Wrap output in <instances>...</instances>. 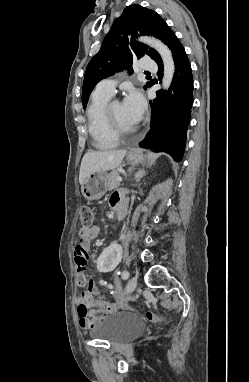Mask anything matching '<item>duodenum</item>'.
<instances>
[{
  "label": "duodenum",
  "mask_w": 249,
  "mask_h": 382,
  "mask_svg": "<svg viewBox=\"0 0 249 382\" xmlns=\"http://www.w3.org/2000/svg\"><path fill=\"white\" fill-rule=\"evenodd\" d=\"M115 219L121 221L126 215V201L121 200L115 207Z\"/></svg>",
  "instance_id": "obj_1"
}]
</instances>
